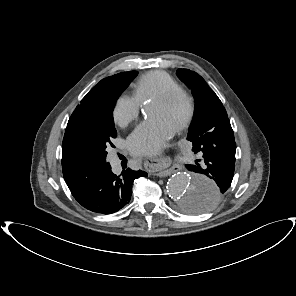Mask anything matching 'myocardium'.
Masks as SVG:
<instances>
[{
  "mask_svg": "<svg viewBox=\"0 0 296 296\" xmlns=\"http://www.w3.org/2000/svg\"><path fill=\"white\" fill-rule=\"evenodd\" d=\"M180 101L184 103L185 111L181 120L174 128L175 132L183 131L192 121L195 112V101L193 96L186 90L179 88L161 94L153 99V102L163 105H169Z\"/></svg>",
  "mask_w": 296,
  "mask_h": 296,
  "instance_id": "1",
  "label": "myocardium"
}]
</instances>
